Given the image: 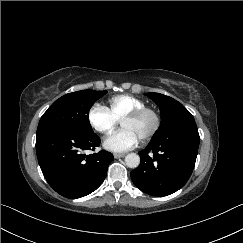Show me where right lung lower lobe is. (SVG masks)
Masks as SVG:
<instances>
[{
    "label": "right lung lower lobe",
    "instance_id": "obj_1",
    "mask_svg": "<svg viewBox=\"0 0 243 243\" xmlns=\"http://www.w3.org/2000/svg\"><path fill=\"white\" fill-rule=\"evenodd\" d=\"M100 138L62 129L36 134L39 165L49 185L60 195L76 199L96 190L104 181L113 154L102 150L85 155L99 146Z\"/></svg>",
    "mask_w": 243,
    "mask_h": 243
}]
</instances>
